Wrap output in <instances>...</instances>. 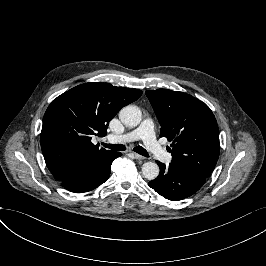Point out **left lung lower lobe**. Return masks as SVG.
<instances>
[{
  "mask_svg": "<svg viewBox=\"0 0 266 266\" xmlns=\"http://www.w3.org/2000/svg\"><path fill=\"white\" fill-rule=\"evenodd\" d=\"M156 162L160 167L159 176L148 185L166 199H185L196 193L206 181L207 177L187 167L174 163L166 167L165 164Z\"/></svg>",
  "mask_w": 266,
  "mask_h": 266,
  "instance_id": "left-lung-lower-lobe-1",
  "label": "left lung lower lobe"
}]
</instances>
